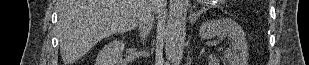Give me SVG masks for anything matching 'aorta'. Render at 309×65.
Wrapping results in <instances>:
<instances>
[{"instance_id":"obj_1","label":"aorta","mask_w":309,"mask_h":65,"mask_svg":"<svg viewBox=\"0 0 309 65\" xmlns=\"http://www.w3.org/2000/svg\"><path fill=\"white\" fill-rule=\"evenodd\" d=\"M184 0H170L165 32V53L170 62L178 58L184 30Z\"/></svg>"}]
</instances>
